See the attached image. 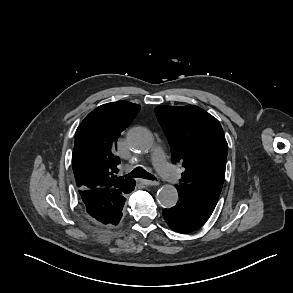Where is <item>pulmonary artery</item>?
Returning <instances> with one entry per match:
<instances>
[{
	"label": "pulmonary artery",
	"instance_id": "pulmonary-artery-1",
	"mask_svg": "<svg viewBox=\"0 0 293 293\" xmlns=\"http://www.w3.org/2000/svg\"><path fill=\"white\" fill-rule=\"evenodd\" d=\"M153 163L159 175L170 183L178 180L174 168L167 162L165 153L161 147H156L152 154Z\"/></svg>",
	"mask_w": 293,
	"mask_h": 293
}]
</instances>
